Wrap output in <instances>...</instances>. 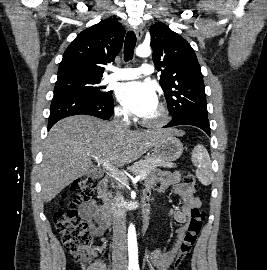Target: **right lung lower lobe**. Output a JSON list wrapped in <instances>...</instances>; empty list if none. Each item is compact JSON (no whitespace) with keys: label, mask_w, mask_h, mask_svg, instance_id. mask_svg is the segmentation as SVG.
Segmentation results:
<instances>
[{"label":"right lung lower lobe","mask_w":267,"mask_h":270,"mask_svg":"<svg viewBox=\"0 0 267 270\" xmlns=\"http://www.w3.org/2000/svg\"><path fill=\"white\" fill-rule=\"evenodd\" d=\"M114 111L112 95L106 99H86L75 96H54L50 107L48 130L59 120L78 114L108 120Z\"/></svg>","instance_id":"obj_1"}]
</instances>
